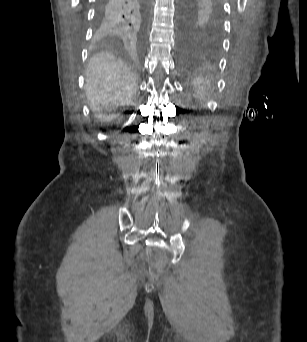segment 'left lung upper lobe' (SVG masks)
Returning <instances> with one entry per match:
<instances>
[{"label": "left lung upper lobe", "instance_id": "left-lung-upper-lobe-1", "mask_svg": "<svg viewBox=\"0 0 307 342\" xmlns=\"http://www.w3.org/2000/svg\"><path fill=\"white\" fill-rule=\"evenodd\" d=\"M181 50L184 54L219 51L223 33L221 0H181Z\"/></svg>", "mask_w": 307, "mask_h": 342}]
</instances>
